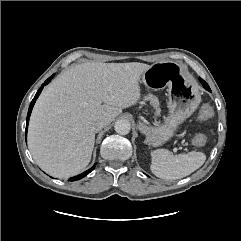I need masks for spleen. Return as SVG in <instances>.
<instances>
[{
  "label": "spleen",
  "instance_id": "1",
  "mask_svg": "<svg viewBox=\"0 0 241 241\" xmlns=\"http://www.w3.org/2000/svg\"><path fill=\"white\" fill-rule=\"evenodd\" d=\"M206 160L202 152L173 155L166 149H157L151 153L152 173L165 180L181 179L200 168Z\"/></svg>",
  "mask_w": 241,
  "mask_h": 241
}]
</instances>
